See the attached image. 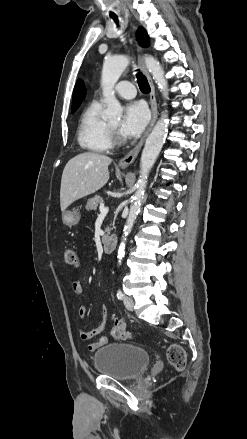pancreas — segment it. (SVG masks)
<instances>
[{"mask_svg":"<svg viewBox=\"0 0 247 439\" xmlns=\"http://www.w3.org/2000/svg\"><path fill=\"white\" fill-rule=\"evenodd\" d=\"M101 203H103V199L99 195H96V196H94V197H92V198H90L88 200L85 208H86L87 211H89V210H97L98 205L101 204ZM111 230L112 229L109 228V227H107L105 229L107 234H109Z\"/></svg>","mask_w":247,"mask_h":439,"instance_id":"1","label":"pancreas"}]
</instances>
